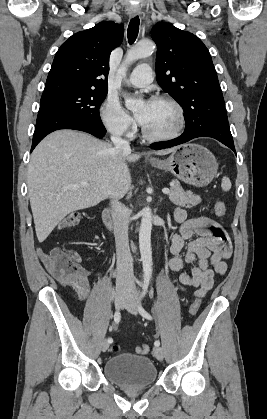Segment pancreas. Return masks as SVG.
<instances>
[{
    "label": "pancreas",
    "instance_id": "pancreas-1",
    "mask_svg": "<svg viewBox=\"0 0 267 419\" xmlns=\"http://www.w3.org/2000/svg\"><path fill=\"white\" fill-rule=\"evenodd\" d=\"M169 199L175 205L186 208H192L201 202L200 196L193 194L191 191L185 192L177 180H173L171 183Z\"/></svg>",
    "mask_w": 267,
    "mask_h": 419
}]
</instances>
